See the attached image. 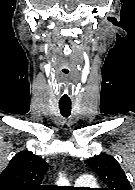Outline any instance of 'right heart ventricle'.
I'll list each match as a JSON object with an SVG mask.
<instances>
[{
	"label": "right heart ventricle",
	"instance_id": "right-heart-ventricle-1",
	"mask_svg": "<svg viewBox=\"0 0 135 190\" xmlns=\"http://www.w3.org/2000/svg\"><path fill=\"white\" fill-rule=\"evenodd\" d=\"M78 185V184H77ZM96 184L92 181L89 184H83V185H78V186H95Z\"/></svg>",
	"mask_w": 135,
	"mask_h": 190
}]
</instances>
